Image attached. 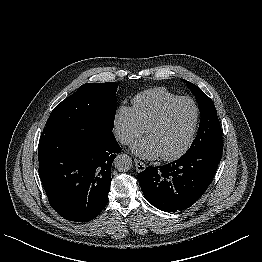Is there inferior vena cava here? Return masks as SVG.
<instances>
[{"mask_svg": "<svg viewBox=\"0 0 262 262\" xmlns=\"http://www.w3.org/2000/svg\"><path fill=\"white\" fill-rule=\"evenodd\" d=\"M117 139H118L122 144H129V143L132 141V139H131L129 136L125 135V134H119V135L117 136Z\"/></svg>", "mask_w": 262, "mask_h": 262, "instance_id": "inferior-vena-cava-1", "label": "inferior vena cava"}]
</instances>
